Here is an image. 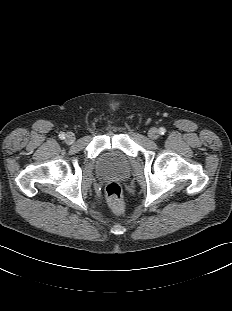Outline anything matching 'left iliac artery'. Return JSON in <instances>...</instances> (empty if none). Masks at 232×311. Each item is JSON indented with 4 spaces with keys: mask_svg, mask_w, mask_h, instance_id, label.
<instances>
[{
    "mask_svg": "<svg viewBox=\"0 0 232 311\" xmlns=\"http://www.w3.org/2000/svg\"><path fill=\"white\" fill-rule=\"evenodd\" d=\"M166 132V129L164 128V127H161L160 129H159V133L160 134H164Z\"/></svg>",
    "mask_w": 232,
    "mask_h": 311,
    "instance_id": "left-iliac-artery-1",
    "label": "left iliac artery"
}]
</instances>
